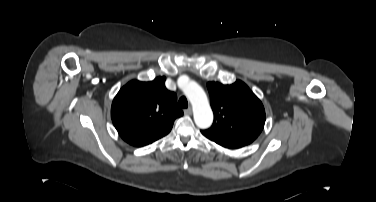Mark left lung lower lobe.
Here are the masks:
<instances>
[{
	"mask_svg": "<svg viewBox=\"0 0 376 202\" xmlns=\"http://www.w3.org/2000/svg\"><path fill=\"white\" fill-rule=\"evenodd\" d=\"M202 134L207 137L208 139L216 142L220 146H223L225 148H230V149H235V148H240L245 145H248L242 141L226 137L224 135H221L219 133L213 132L211 130H202Z\"/></svg>",
	"mask_w": 376,
	"mask_h": 202,
	"instance_id": "0a47b994",
	"label": "left lung lower lobe"
}]
</instances>
